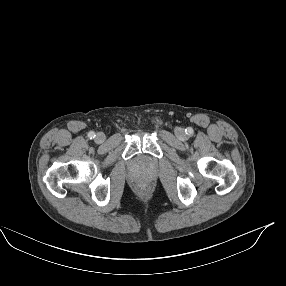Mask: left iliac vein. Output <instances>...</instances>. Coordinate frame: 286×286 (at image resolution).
<instances>
[{"instance_id": "left-iliac-vein-1", "label": "left iliac vein", "mask_w": 286, "mask_h": 286, "mask_svg": "<svg viewBox=\"0 0 286 286\" xmlns=\"http://www.w3.org/2000/svg\"><path fill=\"white\" fill-rule=\"evenodd\" d=\"M176 134H177V137H178L179 139H184V138H185V135H184V132H183L182 129H178L177 132H176Z\"/></svg>"}]
</instances>
